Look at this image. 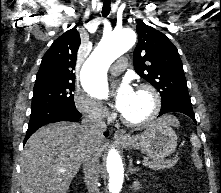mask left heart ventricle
Listing matches in <instances>:
<instances>
[{
  "label": "left heart ventricle",
  "instance_id": "left-heart-ventricle-1",
  "mask_svg": "<svg viewBox=\"0 0 221 193\" xmlns=\"http://www.w3.org/2000/svg\"><path fill=\"white\" fill-rule=\"evenodd\" d=\"M151 108V96L146 92L136 91L132 103L123 115L132 120H139L146 117Z\"/></svg>",
  "mask_w": 221,
  "mask_h": 193
}]
</instances>
